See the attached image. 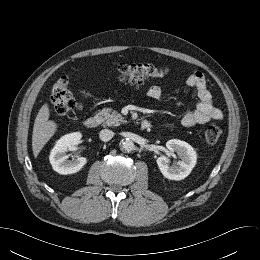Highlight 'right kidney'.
Here are the masks:
<instances>
[{
    "label": "right kidney",
    "instance_id": "1",
    "mask_svg": "<svg viewBox=\"0 0 260 260\" xmlns=\"http://www.w3.org/2000/svg\"><path fill=\"white\" fill-rule=\"evenodd\" d=\"M82 135L78 132L70 133L61 137L51 150L49 160L54 171L59 174H73L82 169L87 163L85 157H78L74 161L68 160L67 151L74 150L75 146L80 143Z\"/></svg>",
    "mask_w": 260,
    "mask_h": 260
}]
</instances>
